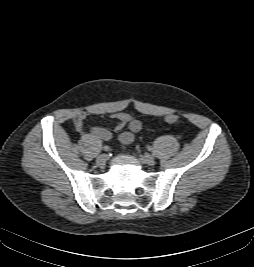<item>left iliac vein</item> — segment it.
I'll return each instance as SVG.
<instances>
[{"label":"left iliac vein","instance_id":"left-iliac-vein-1","mask_svg":"<svg viewBox=\"0 0 254 267\" xmlns=\"http://www.w3.org/2000/svg\"><path fill=\"white\" fill-rule=\"evenodd\" d=\"M140 160L148 165H153L155 163V158L149 154L141 155Z\"/></svg>","mask_w":254,"mask_h":267}]
</instances>
